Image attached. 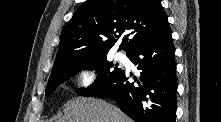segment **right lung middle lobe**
<instances>
[{"mask_svg":"<svg viewBox=\"0 0 221 122\" xmlns=\"http://www.w3.org/2000/svg\"><path fill=\"white\" fill-rule=\"evenodd\" d=\"M81 69L96 70L98 77L94 84L87 89L76 90L80 96L93 95L94 93L106 88L123 70L108 62L105 56L93 58L71 65L58 73L50 76L45 95L48 96L54 92L56 87L63 83L66 79L73 76Z\"/></svg>","mask_w":221,"mask_h":122,"instance_id":"1","label":"right lung middle lobe"}]
</instances>
